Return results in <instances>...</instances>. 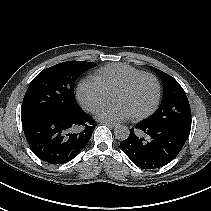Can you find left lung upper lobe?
Listing matches in <instances>:
<instances>
[{"label": "left lung upper lobe", "mask_w": 211, "mask_h": 211, "mask_svg": "<svg viewBox=\"0 0 211 211\" xmlns=\"http://www.w3.org/2000/svg\"><path fill=\"white\" fill-rule=\"evenodd\" d=\"M150 68L161 78L164 94L158 111L143 122L170 127L189 136L191 109L183 88L170 75L152 66Z\"/></svg>", "instance_id": "left-lung-upper-lobe-1"}]
</instances>
